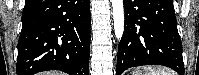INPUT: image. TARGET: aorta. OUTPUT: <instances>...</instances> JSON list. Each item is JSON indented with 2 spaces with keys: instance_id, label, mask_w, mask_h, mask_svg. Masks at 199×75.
I'll return each instance as SVG.
<instances>
[{
  "instance_id": "762f6f07",
  "label": "aorta",
  "mask_w": 199,
  "mask_h": 75,
  "mask_svg": "<svg viewBox=\"0 0 199 75\" xmlns=\"http://www.w3.org/2000/svg\"><path fill=\"white\" fill-rule=\"evenodd\" d=\"M113 20L115 36L120 40L124 32V8L123 0H112Z\"/></svg>"
}]
</instances>
